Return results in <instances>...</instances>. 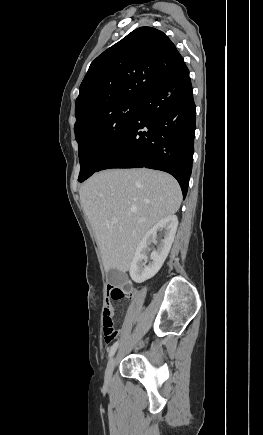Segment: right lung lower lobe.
Masks as SVG:
<instances>
[{
    "label": "right lung lower lobe",
    "instance_id": "right-lung-lower-lobe-1",
    "mask_svg": "<svg viewBox=\"0 0 263 435\" xmlns=\"http://www.w3.org/2000/svg\"><path fill=\"white\" fill-rule=\"evenodd\" d=\"M195 103L186 65L142 100L130 127L98 171L150 168L173 175L186 197L192 171Z\"/></svg>",
    "mask_w": 263,
    "mask_h": 435
}]
</instances>
